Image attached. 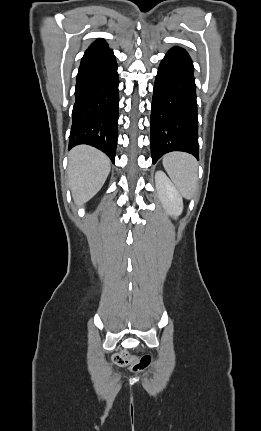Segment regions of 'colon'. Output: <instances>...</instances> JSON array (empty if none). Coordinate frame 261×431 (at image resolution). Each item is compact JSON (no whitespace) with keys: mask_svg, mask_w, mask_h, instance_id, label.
Segmentation results:
<instances>
[{"mask_svg":"<svg viewBox=\"0 0 261 431\" xmlns=\"http://www.w3.org/2000/svg\"><path fill=\"white\" fill-rule=\"evenodd\" d=\"M112 361L117 366H125L131 363L133 371H142L150 364L151 358L150 356L145 355L137 361H131L129 354L126 351H121L112 357Z\"/></svg>","mask_w":261,"mask_h":431,"instance_id":"obj_1","label":"colon"}]
</instances>
